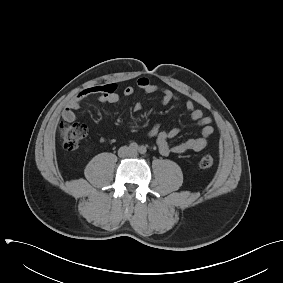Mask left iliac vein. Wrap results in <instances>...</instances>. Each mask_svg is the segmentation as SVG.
Returning <instances> with one entry per match:
<instances>
[{
    "label": "left iliac vein",
    "mask_w": 283,
    "mask_h": 283,
    "mask_svg": "<svg viewBox=\"0 0 283 283\" xmlns=\"http://www.w3.org/2000/svg\"><path fill=\"white\" fill-rule=\"evenodd\" d=\"M137 152L133 151L132 154L135 155Z\"/></svg>",
    "instance_id": "1"
}]
</instances>
